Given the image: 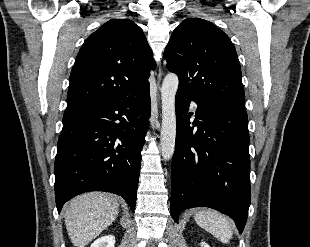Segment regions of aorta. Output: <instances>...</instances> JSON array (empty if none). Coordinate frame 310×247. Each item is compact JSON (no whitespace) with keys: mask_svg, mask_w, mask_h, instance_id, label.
Wrapping results in <instances>:
<instances>
[{"mask_svg":"<svg viewBox=\"0 0 310 247\" xmlns=\"http://www.w3.org/2000/svg\"><path fill=\"white\" fill-rule=\"evenodd\" d=\"M179 80L176 74L169 73L161 87L162 128L160 136L161 153L164 160H170L175 150L176 113L175 96Z\"/></svg>","mask_w":310,"mask_h":247,"instance_id":"1","label":"aorta"}]
</instances>
